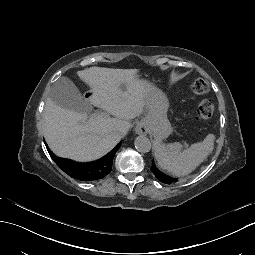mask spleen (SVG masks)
I'll list each match as a JSON object with an SVG mask.
<instances>
[{
  "label": "spleen",
  "mask_w": 255,
  "mask_h": 255,
  "mask_svg": "<svg viewBox=\"0 0 255 255\" xmlns=\"http://www.w3.org/2000/svg\"><path fill=\"white\" fill-rule=\"evenodd\" d=\"M215 136L208 134L202 142L194 143L185 150L179 142L164 144L154 141V155L158 165L175 176H184L196 169L213 151Z\"/></svg>",
  "instance_id": "1"
}]
</instances>
